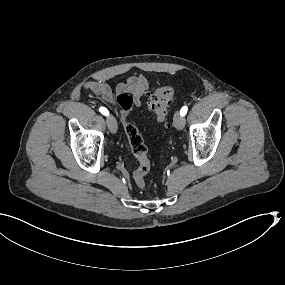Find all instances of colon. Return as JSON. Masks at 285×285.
<instances>
[{
  "mask_svg": "<svg viewBox=\"0 0 285 285\" xmlns=\"http://www.w3.org/2000/svg\"><path fill=\"white\" fill-rule=\"evenodd\" d=\"M175 90L170 86L154 89L148 99L147 107L151 110L159 123L166 122L169 103L173 99ZM136 100L132 93L123 92L117 96L124 131L132 154L138 160V167L134 171L133 179L135 184L145 188V178L148 175L151 163L148 157V150L137 127L128 120V115L135 106Z\"/></svg>",
  "mask_w": 285,
  "mask_h": 285,
  "instance_id": "colon-1",
  "label": "colon"
}]
</instances>
